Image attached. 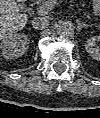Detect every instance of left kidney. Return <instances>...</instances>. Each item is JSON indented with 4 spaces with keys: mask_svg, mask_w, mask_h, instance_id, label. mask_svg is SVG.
I'll return each mask as SVG.
<instances>
[{
    "mask_svg": "<svg viewBox=\"0 0 100 118\" xmlns=\"http://www.w3.org/2000/svg\"><path fill=\"white\" fill-rule=\"evenodd\" d=\"M100 37L99 36H93L89 38L85 43L86 51L89 53V55L95 59L100 60V47H99Z\"/></svg>",
    "mask_w": 100,
    "mask_h": 118,
    "instance_id": "1",
    "label": "left kidney"
}]
</instances>
